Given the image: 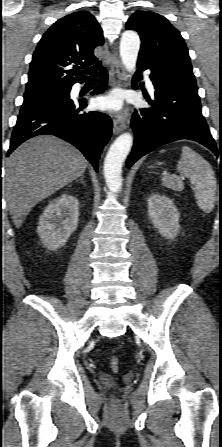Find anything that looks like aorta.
Here are the masks:
<instances>
[{
	"label": "aorta",
	"instance_id": "aorta-1",
	"mask_svg": "<svg viewBox=\"0 0 222 447\" xmlns=\"http://www.w3.org/2000/svg\"><path fill=\"white\" fill-rule=\"evenodd\" d=\"M139 49L138 34L134 31H125L120 40V57L124 67L130 73L135 71ZM132 143V135L126 132L121 134L109 148L104 160V177L111 192H119L122 188V165Z\"/></svg>",
	"mask_w": 222,
	"mask_h": 447
}]
</instances>
